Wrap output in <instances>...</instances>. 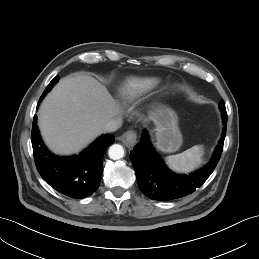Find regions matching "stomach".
<instances>
[{"label":"stomach","instance_id":"obj_1","mask_svg":"<svg viewBox=\"0 0 259 259\" xmlns=\"http://www.w3.org/2000/svg\"><path fill=\"white\" fill-rule=\"evenodd\" d=\"M150 118L156 125L158 148L164 152L178 150L182 137L177 126L176 113L170 108L158 106L150 112Z\"/></svg>","mask_w":259,"mask_h":259}]
</instances>
